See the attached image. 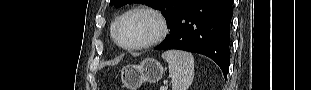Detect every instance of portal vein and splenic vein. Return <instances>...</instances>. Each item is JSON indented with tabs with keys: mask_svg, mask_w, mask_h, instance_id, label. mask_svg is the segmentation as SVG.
<instances>
[{
	"mask_svg": "<svg viewBox=\"0 0 311 90\" xmlns=\"http://www.w3.org/2000/svg\"><path fill=\"white\" fill-rule=\"evenodd\" d=\"M167 88L165 87V86H162L161 88H160V90H166Z\"/></svg>",
	"mask_w": 311,
	"mask_h": 90,
	"instance_id": "obj_1",
	"label": "portal vein and splenic vein"
}]
</instances>
